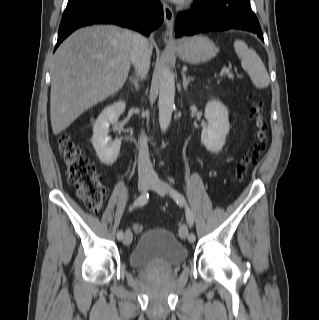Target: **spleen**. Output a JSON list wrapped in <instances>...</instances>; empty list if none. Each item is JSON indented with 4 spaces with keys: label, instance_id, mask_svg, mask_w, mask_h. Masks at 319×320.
Segmentation results:
<instances>
[{
    "label": "spleen",
    "instance_id": "1",
    "mask_svg": "<svg viewBox=\"0 0 319 320\" xmlns=\"http://www.w3.org/2000/svg\"><path fill=\"white\" fill-rule=\"evenodd\" d=\"M234 49L241 60L242 68L247 71L254 86L260 89L268 87L270 78L259 55L239 39L234 41Z\"/></svg>",
    "mask_w": 319,
    "mask_h": 320
}]
</instances>
